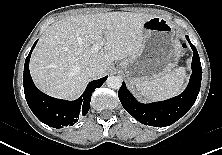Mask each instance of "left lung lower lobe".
<instances>
[{
	"mask_svg": "<svg viewBox=\"0 0 222 155\" xmlns=\"http://www.w3.org/2000/svg\"><path fill=\"white\" fill-rule=\"evenodd\" d=\"M186 39L194 52L192 74L187 88L180 95L161 102L142 104L132 96L124 82L119 89L118 96L123 107L139 122L155 127L171 125L185 115L195 103L201 85L202 67L196 47L187 35Z\"/></svg>",
	"mask_w": 222,
	"mask_h": 155,
	"instance_id": "left-lung-lower-lobe-1",
	"label": "left lung lower lobe"
}]
</instances>
